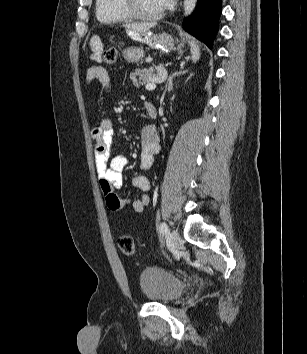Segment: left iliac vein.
<instances>
[{"label":"left iliac vein","mask_w":307,"mask_h":354,"mask_svg":"<svg viewBox=\"0 0 307 354\" xmlns=\"http://www.w3.org/2000/svg\"><path fill=\"white\" fill-rule=\"evenodd\" d=\"M170 244L172 246V248L174 249H179L181 247L182 241H181V237L178 234L177 231H172L170 234Z\"/></svg>","instance_id":"obj_1"}]
</instances>
